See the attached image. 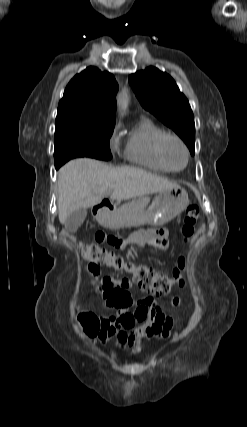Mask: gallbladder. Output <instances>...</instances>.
<instances>
[{"instance_id": "1", "label": "gallbladder", "mask_w": 247, "mask_h": 427, "mask_svg": "<svg viewBox=\"0 0 247 427\" xmlns=\"http://www.w3.org/2000/svg\"><path fill=\"white\" fill-rule=\"evenodd\" d=\"M87 216V210L80 208L70 213L65 219L64 226L69 232H76Z\"/></svg>"}]
</instances>
